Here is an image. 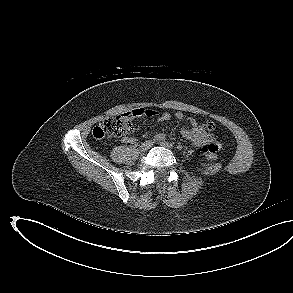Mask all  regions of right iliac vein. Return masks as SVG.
Wrapping results in <instances>:
<instances>
[{"label": "right iliac vein", "mask_w": 293, "mask_h": 293, "mask_svg": "<svg viewBox=\"0 0 293 293\" xmlns=\"http://www.w3.org/2000/svg\"><path fill=\"white\" fill-rule=\"evenodd\" d=\"M153 145L152 141H145L144 143H142V145L140 146V151L144 152L147 151L148 149H150V147Z\"/></svg>", "instance_id": "right-iliac-vein-1"}]
</instances>
